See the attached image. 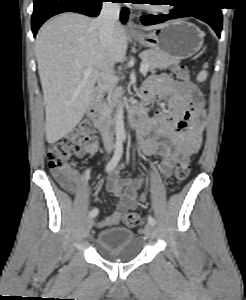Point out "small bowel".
Here are the masks:
<instances>
[{"label":"small bowel","instance_id":"c3829d8e","mask_svg":"<svg viewBox=\"0 0 246 300\" xmlns=\"http://www.w3.org/2000/svg\"><path fill=\"white\" fill-rule=\"evenodd\" d=\"M142 97L146 103L154 101L161 104L166 101L169 105L167 111L158 108L153 115H147L137 129L141 150L148 156L161 158L160 174L167 178L178 163L188 160L200 149L205 113L203 108L198 110L194 107L186 85L174 81L166 74L152 76L142 92ZM99 146V141L93 140L78 155L94 154ZM56 178L64 189L75 195L80 194L81 186L77 176ZM139 187V179L122 178L116 170L109 178L106 190L118 197L119 202L113 213L99 221L97 227L104 229L115 226L127 210L135 208L142 199L138 193Z\"/></svg>","mask_w":246,"mask_h":300}]
</instances>
